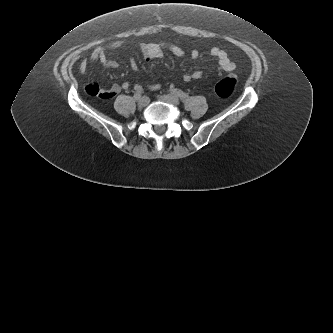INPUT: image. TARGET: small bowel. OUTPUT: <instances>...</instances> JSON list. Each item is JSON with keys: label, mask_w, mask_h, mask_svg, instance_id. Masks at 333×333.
<instances>
[{"label": "small bowel", "mask_w": 333, "mask_h": 333, "mask_svg": "<svg viewBox=\"0 0 333 333\" xmlns=\"http://www.w3.org/2000/svg\"><path fill=\"white\" fill-rule=\"evenodd\" d=\"M124 43L122 41H113L105 46H96L91 52V62L92 64L99 62L106 68H116L117 63L111 60L107 53L109 51L117 50L122 48ZM168 49L172 54L177 57H183L185 55V51L175 44L168 43H155V44H143L141 46V52L143 57L148 60H153L160 58L163 55V50ZM210 55L214 57L217 62L219 69L225 72H231L235 69V64L229 59L227 53L217 47H214L210 50ZM199 56L197 50H193L190 53V57L193 60H196ZM130 66L133 70L137 69L138 65L134 58L130 60ZM88 68V62L86 59H82L78 65V71L80 73H85ZM203 72L201 70H195L191 73H186L183 75L182 80L186 83L191 80H198L202 78ZM130 88V83L124 82L122 85L114 84L108 90L101 89L97 83L87 84L84 87V90L89 95H98L104 99H110L116 96L121 90H128ZM136 91H141L142 87L140 85H135ZM149 88L151 90L160 89V85L153 84L150 85Z\"/></svg>", "instance_id": "1"}]
</instances>
